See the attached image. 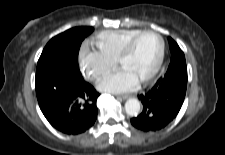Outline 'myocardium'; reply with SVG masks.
<instances>
[{"instance_id":"1","label":"myocardium","mask_w":225,"mask_h":155,"mask_svg":"<svg viewBox=\"0 0 225 155\" xmlns=\"http://www.w3.org/2000/svg\"><path fill=\"white\" fill-rule=\"evenodd\" d=\"M146 34H153L159 39L160 52H159L158 60L155 64L154 68L143 80H141L142 83H148L151 80H153L162 67L164 57H165V41H164V38L162 37V35L155 30H150V29L141 30L140 32H138L134 36H132L126 42V44L123 46L122 50L120 51V53L117 57V63L121 64V62L132 52V50H133L136 42L139 40V38H141L142 36H144Z\"/></svg>"}]
</instances>
